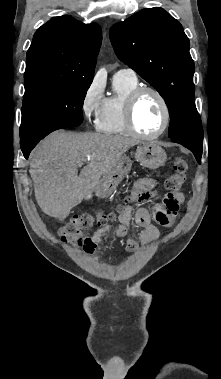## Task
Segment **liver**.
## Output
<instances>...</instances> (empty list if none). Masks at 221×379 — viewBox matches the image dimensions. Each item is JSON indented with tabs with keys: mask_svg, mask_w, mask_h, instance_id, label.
<instances>
[{
	"mask_svg": "<svg viewBox=\"0 0 221 379\" xmlns=\"http://www.w3.org/2000/svg\"><path fill=\"white\" fill-rule=\"evenodd\" d=\"M138 141L119 135L56 131L32 151L30 174L42 211L66 218ZM90 158L78 175V168Z\"/></svg>",
	"mask_w": 221,
	"mask_h": 379,
	"instance_id": "obj_1",
	"label": "liver"
}]
</instances>
